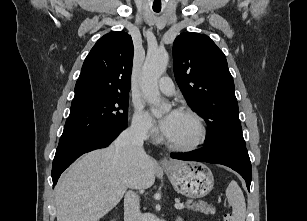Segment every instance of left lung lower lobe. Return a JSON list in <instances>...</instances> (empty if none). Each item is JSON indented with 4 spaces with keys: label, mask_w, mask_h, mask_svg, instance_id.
<instances>
[{
    "label": "left lung lower lobe",
    "mask_w": 307,
    "mask_h": 221,
    "mask_svg": "<svg viewBox=\"0 0 307 221\" xmlns=\"http://www.w3.org/2000/svg\"><path fill=\"white\" fill-rule=\"evenodd\" d=\"M174 159L199 161L212 164H222L237 171L246 181L248 190L252 180V166L248 152L238 147L225 144L214 143L205 145L198 150L187 153H171Z\"/></svg>",
    "instance_id": "left-lung-lower-lobe-1"
}]
</instances>
